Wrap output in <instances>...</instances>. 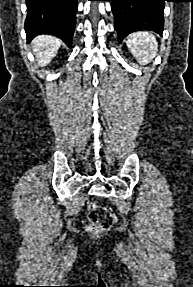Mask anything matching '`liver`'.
<instances>
[{
    "label": "liver",
    "mask_w": 193,
    "mask_h": 287,
    "mask_svg": "<svg viewBox=\"0 0 193 287\" xmlns=\"http://www.w3.org/2000/svg\"><path fill=\"white\" fill-rule=\"evenodd\" d=\"M61 40L51 35L37 36L32 42L33 53L39 66H44L56 56Z\"/></svg>",
    "instance_id": "1"
}]
</instances>
